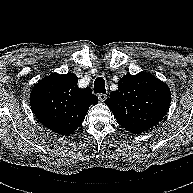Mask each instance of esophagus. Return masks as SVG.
<instances>
[{
	"label": "esophagus",
	"instance_id": "34e87169",
	"mask_svg": "<svg viewBox=\"0 0 193 193\" xmlns=\"http://www.w3.org/2000/svg\"><path fill=\"white\" fill-rule=\"evenodd\" d=\"M107 98L106 94H98V99L100 100V102H104Z\"/></svg>",
	"mask_w": 193,
	"mask_h": 193
}]
</instances>
